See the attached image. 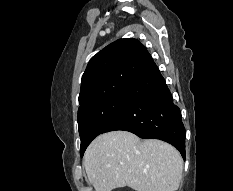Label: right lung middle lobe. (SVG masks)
Masks as SVG:
<instances>
[{"instance_id":"obj_1","label":"right lung middle lobe","mask_w":233,"mask_h":191,"mask_svg":"<svg viewBox=\"0 0 233 191\" xmlns=\"http://www.w3.org/2000/svg\"><path fill=\"white\" fill-rule=\"evenodd\" d=\"M128 99V91L120 92L78 110L81 156L91 141L124 109Z\"/></svg>"}]
</instances>
